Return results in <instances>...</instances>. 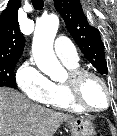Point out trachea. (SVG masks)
<instances>
[{
	"mask_svg": "<svg viewBox=\"0 0 117 136\" xmlns=\"http://www.w3.org/2000/svg\"><path fill=\"white\" fill-rule=\"evenodd\" d=\"M32 5L34 9L41 10L44 7V1L43 0H32Z\"/></svg>",
	"mask_w": 117,
	"mask_h": 136,
	"instance_id": "obj_1",
	"label": "trachea"
}]
</instances>
